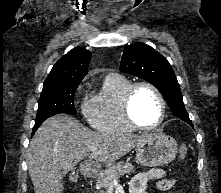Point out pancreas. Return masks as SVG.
Returning <instances> with one entry per match:
<instances>
[{
    "label": "pancreas",
    "mask_w": 221,
    "mask_h": 193,
    "mask_svg": "<svg viewBox=\"0 0 221 193\" xmlns=\"http://www.w3.org/2000/svg\"><path fill=\"white\" fill-rule=\"evenodd\" d=\"M131 172H134V166L129 161H120L117 164L109 166L106 170L98 174L96 186L100 188H107L124 174H129ZM100 193L104 192L100 191Z\"/></svg>",
    "instance_id": "cf45deb5"
}]
</instances>
